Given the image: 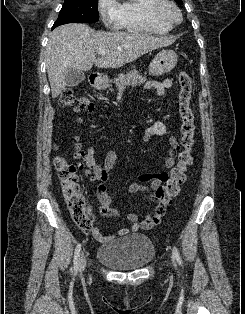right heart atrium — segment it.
<instances>
[{"label":"right heart atrium","mask_w":245,"mask_h":314,"mask_svg":"<svg viewBox=\"0 0 245 314\" xmlns=\"http://www.w3.org/2000/svg\"><path fill=\"white\" fill-rule=\"evenodd\" d=\"M97 7L101 20L106 26L117 25L118 3L116 0H98Z\"/></svg>","instance_id":"d8ad5b80"}]
</instances>
